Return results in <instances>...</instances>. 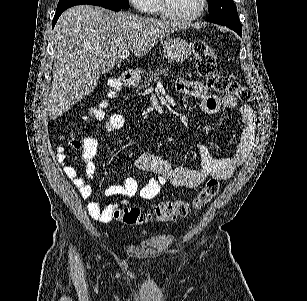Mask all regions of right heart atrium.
Listing matches in <instances>:
<instances>
[{"label": "right heart atrium", "mask_w": 307, "mask_h": 301, "mask_svg": "<svg viewBox=\"0 0 307 301\" xmlns=\"http://www.w3.org/2000/svg\"><path fill=\"white\" fill-rule=\"evenodd\" d=\"M133 3L138 11H154V4H149L150 0H133Z\"/></svg>", "instance_id": "d8ad5b80"}]
</instances>
